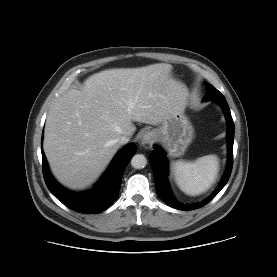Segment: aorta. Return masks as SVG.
<instances>
[{
	"label": "aorta",
	"mask_w": 277,
	"mask_h": 277,
	"mask_svg": "<svg viewBox=\"0 0 277 277\" xmlns=\"http://www.w3.org/2000/svg\"><path fill=\"white\" fill-rule=\"evenodd\" d=\"M147 159L143 154H136L131 159V165L135 169H142L146 166Z\"/></svg>",
	"instance_id": "762f6f07"
}]
</instances>
